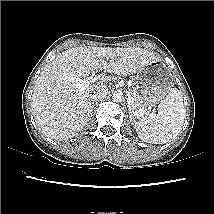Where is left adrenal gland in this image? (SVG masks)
Segmentation results:
<instances>
[{"label":"left adrenal gland","mask_w":214,"mask_h":214,"mask_svg":"<svg viewBox=\"0 0 214 214\" xmlns=\"http://www.w3.org/2000/svg\"><path fill=\"white\" fill-rule=\"evenodd\" d=\"M128 110H129L130 118H131V117L133 118V115H132V111H131L130 105H128Z\"/></svg>","instance_id":"1"}]
</instances>
